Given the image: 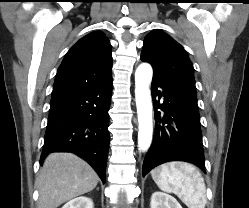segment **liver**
I'll return each instance as SVG.
<instances>
[{
	"mask_svg": "<svg viewBox=\"0 0 249 208\" xmlns=\"http://www.w3.org/2000/svg\"><path fill=\"white\" fill-rule=\"evenodd\" d=\"M98 181L97 173L80 157L71 153L49 154L36 180L39 190L37 208H57L92 191Z\"/></svg>",
	"mask_w": 249,
	"mask_h": 208,
	"instance_id": "liver-1",
	"label": "liver"
}]
</instances>
